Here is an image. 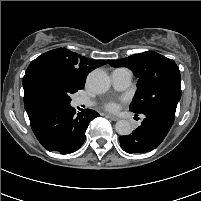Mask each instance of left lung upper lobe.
<instances>
[{
  "mask_svg": "<svg viewBox=\"0 0 201 201\" xmlns=\"http://www.w3.org/2000/svg\"><path fill=\"white\" fill-rule=\"evenodd\" d=\"M113 67H128L139 78L130 105L134 113H145L158 107L176 110L181 98L180 72L176 63L156 52L148 51L110 61Z\"/></svg>",
  "mask_w": 201,
  "mask_h": 201,
  "instance_id": "1",
  "label": "left lung upper lobe"
}]
</instances>
